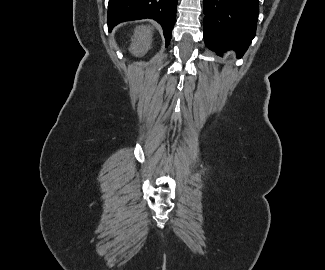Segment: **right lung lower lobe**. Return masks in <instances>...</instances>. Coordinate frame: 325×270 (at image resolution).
I'll use <instances>...</instances> for the list:
<instances>
[{
    "instance_id": "1",
    "label": "right lung lower lobe",
    "mask_w": 325,
    "mask_h": 270,
    "mask_svg": "<svg viewBox=\"0 0 325 270\" xmlns=\"http://www.w3.org/2000/svg\"><path fill=\"white\" fill-rule=\"evenodd\" d=\"M178 0H109L107 23L111 31L120 22L150 18L163 28L169 44L176 18Z\"/></svg>"
}]
</instances>
